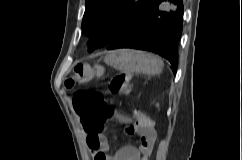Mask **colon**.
I'll list each match as a JSON object with an SVG mask.
<instances>
[{"instance_id":"5ec220e1","label":"colon","mask_w":242,"mask_h":160,"mask_svg":"<svg viewBox=\"0 0 242 160\" xmlns=\"http://www.w3.org/2000/svg\"><path fill=\"white\" fill-rule=\"evenodd\" d=\"M104 73L105 68L101 65L91 66L87 63H78L65 84L67 88L71 89L77 85L88 83L94 78H100ZM129 90V76L127 74H116L109 81V92L111 94H125ZM73 107L76 113L81 116L84 128L93 135L103 133L104 124L114 114L112 107L108 104L103 94L94 90L75 92ZM134 112L140 111L135 109Z\"/></svg>"}]
</instances>
